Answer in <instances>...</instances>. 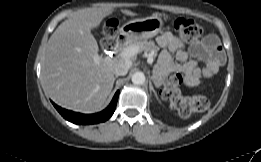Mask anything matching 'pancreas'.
Returning a JSON list of instances; mask_svg holds the SVG:
<instances>
[{
  "mask_svg": "<svg viewBox=\"0 0 261 162\" xmlns=\"http://www.w3.org/2000/svg\"><path fill=\"white\" fill-rule=\"evenodd\" d=\"M128 46H136L140 49V51H145L148 53L153 52L154 58L157 56V52L159 50V47L155 45L154 41H147V40H143V41L142 40H133V41L129 42Z\"/></svg>",
  "mask_w": 261,
  "mask_h": 162,
  "instance_id": "pancreas-1",
  "label": "pancreas"
}]
</instances>
